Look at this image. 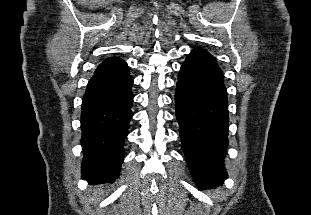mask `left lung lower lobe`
I'll use <instances>...</instances> for the list:
<instances>
[{
  "instance_id": "0a47b994",
  "label": "left lung lower lobe",
  "mask_w": 311,
  "mask_h": 215,
  "mask_svg": "<svg viewBox=\"0 0 311 215\" xmlns=\"http://www.w3.org/2000/svg\"><path fill=\"white\" fill-rule=\"evenodd\" d=\"M180 138L199 188H216L227 178L223 159L228 145V102L216 59L197 47L183 63L175 92Z\"/></svg>"
}]
</instances>
